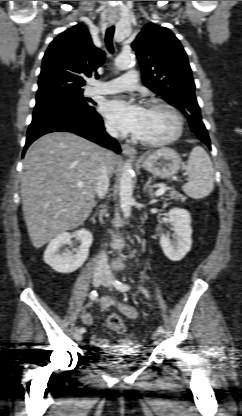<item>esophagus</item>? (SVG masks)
<instances>
[{
    "mask_svg": "<svg viewBox=\"0 0 242 416\" xmlns=\"http://www.w3.org/2000/svg\"><path fill=\"white\" fill-rule=\"evenodd\" d=\"M122 152L124 155L129 157H136V149L128 144H122L121 145Z\"/></svg>",
    "mask_w": 242,
    "mask_h": 416,
    "instance_id": "obj_1",
    "label": "esophagus"
}]
</instances>
